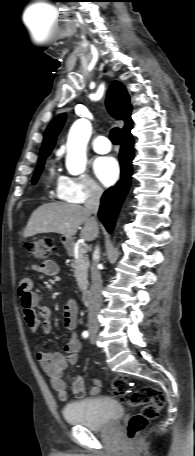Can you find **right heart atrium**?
Returning a JSON list of instances; mask_svg holds the SVG:
<instances>
[{
  "mask_svg": "<svg viewBox=\"0 0 195 456\" xmlns=\"http://www.w3.org/2000/svg\"><path fill=\"white\" fill-rule=\"evenodd\" d=\"M102 193L100 185L87 175L64 176L57 188V196L61 200L76 204L98 199Z\"/></svg>",
  "mask_w": 195,
  "mask_h": 456,
  "instance_id": "right-heart-atrium-1",
  "label": "right heart atrium"
}]
</instances>
